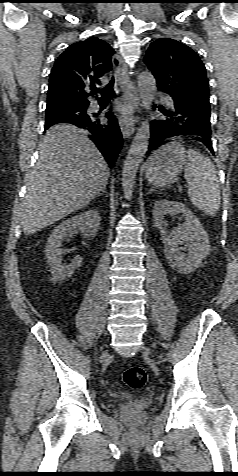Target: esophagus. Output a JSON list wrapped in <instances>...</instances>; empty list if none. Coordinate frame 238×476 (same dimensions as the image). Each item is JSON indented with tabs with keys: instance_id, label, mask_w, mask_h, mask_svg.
Wrapping results in <instances>:
<instances>
[{
	"instance_id": "esophagus-1",
	"label": "esophagus",
	"mask_w": 238,
	"mask_h": 476,
	"mask_svg": "<svg viewBox=\"0 0 238 476\" xmlns=\"http://www.w3.org/2000/svg\"><path fill=\"white\" fill-rule=\"evenodd\" d=\"M115 75L123 92V105L119 117V126L124 138L135 131V112L138 110L139 95L135 84L128 75V67L119 54L112 58Z\"/></svg>"
}]
</instances>
